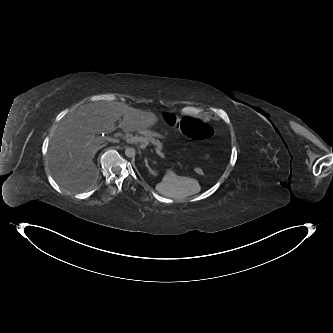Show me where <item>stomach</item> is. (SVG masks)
Listing matches in <instances>:
<instances>
[{"instance_id": "obj_1", "label": "stomach", "mask_w": 333, "mask_h": 333, "mask_svg": "<svg viewBox=\"0 0 333 333\" xmlns=\"http://www.w3.org/2000/svg\"><path fill=\"white\" fill-rule=\"evenodd\" d=\"M155 136H159V137H161V135L160 134H158V133H156V134H154Z\"/></svg>"}]
</instances>
